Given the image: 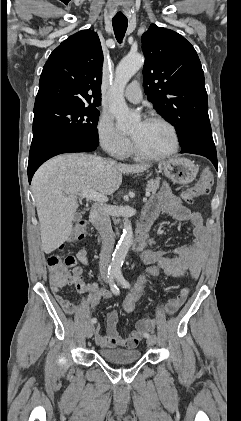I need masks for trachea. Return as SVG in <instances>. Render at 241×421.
Wrapping results in <instances>:
<instances>
[{
	"mask_svg": "<svg viewBox=\"0 0 241 421\" xmlns=\"http://www.w3.org/2000/svg\"><path fill=\"white\" fill-rule=\"evenodd\" d=\"M112 25H113V29H114V33H115L117 41L119 43H122V40L125 36V32L127 30L128 20L127 19H113Z\"/></svg>",
	"mask_w": 241,
	"mask_h": 421,
	"instance_id": "1",
	"label": "trachea"
}]
</instances>
